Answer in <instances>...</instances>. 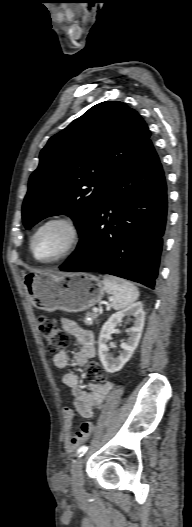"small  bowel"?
<instances>
[{"mask_svg": "<svg viewBox=\"0 0 192 527\" xmlns=\"http://www.w3.org/2000/svg\"><path fill=\"white\" fill-rule=\"evenodd\" d=\"M62 327L72 334L78 344L79 350L74 354V361L78 366H84L90 358L95 356V340L92 331L80 327L75 321L62 318ZM69 356L65 350L55 352L53 363L59 369L68 366ZM62 382L70 389L74 399L75 411L84 418H91L94 412L104 403L107 394L113 389L112 382L101 385L89 384V391L85 390L80 383L78 376L73 372H67L62 377ZM75 411L71 408L63 410L64 416V449L73 452L89 436L93 430V423H82L80 430L72 434L73 419Z\"/></svg>", "mask_w": 192, "mask_h": 527, "instance_id": "small-bowel-1", "label": "small bowel"}]
</instances>
